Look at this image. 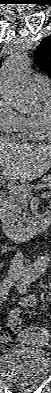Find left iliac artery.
Returning a JSON list of instances; mask_svg holds the SVG:
<instances>
[{"instance_id":"1","label":"left iliac artery","mask_w":51,"mask_h":393,"mask_svg":"<svg viewBox=\"0 0 51 393\" xmlns=\"http://www.w3.org/2000/svg\"><path fill=\"white\" fill-rule=\"evenodd\" d=\"M37 278L36 273H28L21 282V292H26V287L29 285L32 281H34Z\"/></svg>"}]
</instances>
